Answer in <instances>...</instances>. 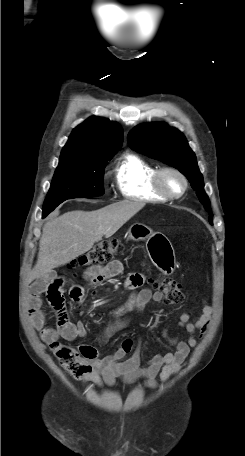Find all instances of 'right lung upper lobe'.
Here are the masks:
<instances>
[{"mask_svg": "<svg viewBox=\"0 0 245 456\" xmlns=\"http://www.w3.org/2000/svg\"><path fill=\"white\" fill-rule=\"evenodd\" d=\"M122 140L123 129L119 124L90 117L73 130L61 152L59 163L110 158L120 148Z\"/></svg>", "mask_w": 245, "mask_h": 456, "instance_id": "right-lung-upper-lobe-1", "label": "right lung upper lobe"}]
</instances>
